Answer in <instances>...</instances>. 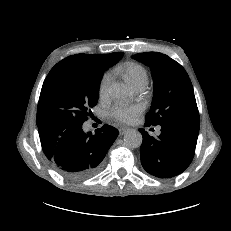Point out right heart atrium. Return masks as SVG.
<instances>
[{
  "mask_svg": "<svg viewBox=\"0 0 231 231\" xmlns=\"http://www.w3.org/2000/svg\"><path fill=\"white\" fill-rule=\"evenodd\" d=\"M111 81H112V76L108 72L105 73L100 79V82L98 85V94L100 98L104 99L108 96Z\"/></svg>",
  "mask_w": 231,
  "mask_h": 231,
  "instance_id": "obj_1",
  "label": "right heart atrium"
}]
</instances>
